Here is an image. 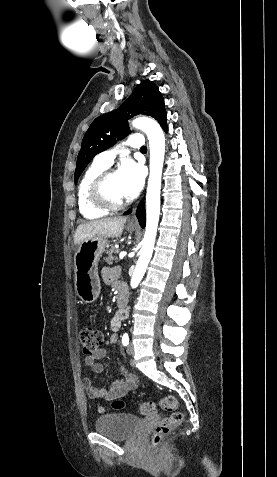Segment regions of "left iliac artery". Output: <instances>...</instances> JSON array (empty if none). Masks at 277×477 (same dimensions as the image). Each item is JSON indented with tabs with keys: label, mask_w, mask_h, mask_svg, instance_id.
I'll return each instance as SVG.
<instances>
[{
	"label": "left iliac artery",
	"mask_w": 277,
	"mask_h": 477,
	"mask_svg": "<svg viewBox=\"0 0 277 477\" xmlns=\"http://www.w3.org/2000/svg\"><path fill=\"white\" fill-rule=\"evenodd\" d=\"M128 343H129V337H128V334L125 333V334L122 336V344H123L124 346H127Z\"/></svg>",
	"instance_id": "1"
}]
</instances>
